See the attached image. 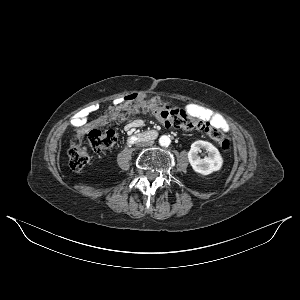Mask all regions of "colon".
Masks as SVG:
<instances>
[{
	"mask_svg": "<svg viewBox=\"0 0 300 300\" xmlns=\"http://www.w3.org/2000/svg\"><path fill=\"white\" fill-rule=\"evenodd\" d=\"M124 101L132 109L149 112L167 127L180 129H196L204 132L208 137L216 141L223 153L230 150V142L224 131L200 116H194L185 110L169 108L147 100L143 94L135 93L128 95ZM89 143L95 151L110 149L116 142L117 132L113 128L93 129L87 133ZM70 169L81 171L89 160L87 150L78 143H73L68 151Z\"/></svg>",
	"mask_w": 300,
	"mask_h": 300,
	"instance_id": "1",
	"label": "colon"
}]
</instances>
